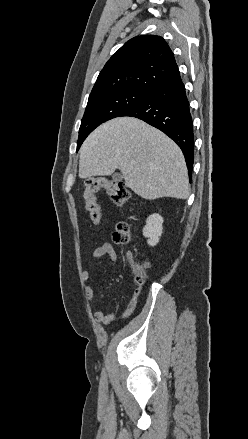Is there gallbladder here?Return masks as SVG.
<instances>
[{
	"label": "gallbladder",
	"instance_id": "gallbladder-1",
	"mask_svg": "<svg viewBox=\"0 0 248 439\" xmlns=\"http://www.w3.org/2000/svg\"><path fill=\"white\" fill-rule=\"evenodd\" d=\"M112 178H113L114 180H121V179H122V175H121L120 173H114V174L112 175Z\"/></svg>",
	"mask_w": 248,
	"mask_h": 439
}]
</instances>
